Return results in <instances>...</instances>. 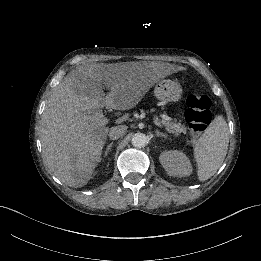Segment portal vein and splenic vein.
Masks as SVG:
<instances>
[{
  "label": "portal vein and splenic vein",
  "mask_w": 261,
  "mask_h": 261,
  "mask_svg": "<svg viewBox=\"0 0 261 261\" xmlns=\"http://www.w3.org/2000/svg\"><path fill=\"white\" fill-rule=\"evenodd\" d=\"M109 119L107 118H101V119H98V123L99 125H106L108 123ZM151 122L157 127V128H160L161 127V123L158 122L155 118H152L151 119ZM177 126V125H175Z\"/></svg>",
  "instance_id": "portal-vein-and-splenic-vein-1"
}]
</instances>
